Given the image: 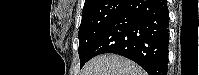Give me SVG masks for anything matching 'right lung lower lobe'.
Here are the masks:
<instances>
[{
    "label": "right lung lower lobe",
    "instance_id": "98d812e1",
    "mask_svg": "<svg viewBox=\"0 0 199 75\" xmlns=\"http://www.w3.org/2000/svg\"><path fill=\"white\" fill-rule=\"evenodd\" d=\"M169 12L166 0H127L93 49L92 58L115 53L149 75H167Z\"/></svg>",
    "mask_w": 199,
    "mask_h": 75
}]
</instances>
